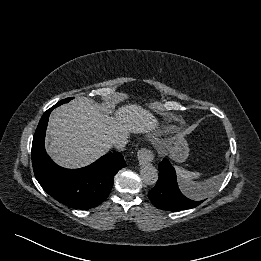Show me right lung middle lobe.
<instances>
[{"label": "right lung middle lobe", "mask_w": 261, "mask_h": 261, "mask_svg": "<svg viewBox=\"0 0 261 261\" xmlns=\"http://www.w3.org/2000/svg\"><path fill=\"white\" fill-rule=\"evenodd\" d=\"M71 99L72 98H67V99L61 100L60 102H58V105L64 104V103L70 101Z\"/></svg>", "instance_id": "1"}]
</instances>
